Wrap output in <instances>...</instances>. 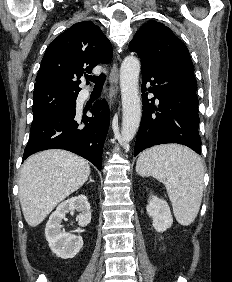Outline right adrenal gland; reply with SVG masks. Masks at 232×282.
Here are the masks:
<instances>
[{
	"instance_id": "1",
	"label": "right adrenal gland",
	"mask_w": 232,
	"mask_h": 282,
	"mask_svg": "<svg viewBox=\"0 0 232 282\" xmlns=\"http://www.w3.org/2000/svg\"><path fill=\"white\" fill-rule=\"evenodd\" d=\"M90 182H94V180H92L91 176L89 178V182L88 183H90Z\"/></svg>"
}]
</instances>
